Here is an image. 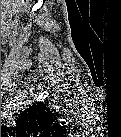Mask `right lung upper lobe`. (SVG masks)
I'll return each mask as SVG.
<instances>
[{"mask_svg":"<svg viewBox=\"0 0 121 137\" xmlns=\"http://www.w3.org/2000/svg\"><path fill=\"white\" fill-rule=\"evenodd\" d=\"M20 135H44L56 133L60 129L54 114L41 102L25 109L16 121ZM1 128H6L2 126Z\"/></svg>","mask_w":121,"mask_h":137,"instance_id":"right-lung-upper-lobe-1","label":"right lung upper lobe"}]
</instances>
